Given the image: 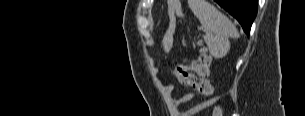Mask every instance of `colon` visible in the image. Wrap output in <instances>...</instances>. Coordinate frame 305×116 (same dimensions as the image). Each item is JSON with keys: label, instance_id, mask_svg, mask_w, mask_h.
Segmentation results:
<instances>
[{"label": "colon", "instance_id": "5ec220e1", "mask_svg": "<svg viewBox=\"0 0 305 116\" xmlns=\"http://www.w3.org/2000/svg\"><path fill=\"white\" fill-rule=\"evenodd\" d=\"M168 5L170 10L178 17L185 16L179 0H169ZM211 64L212 56L205 49H201L197 59L189 65H177L174 74L182 84L197 89L206 97H211L214 94V88L208 79ZM212 116H222V110L218 105L214 106Z\"/></svg>", "mask_w": 305, "mask_h": 116}]
</instances>
